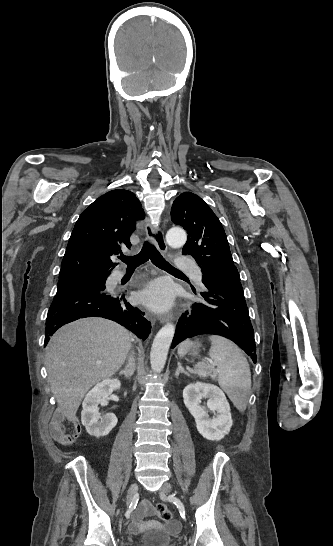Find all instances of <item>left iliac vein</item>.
Segmentation results:
<instances>
[{
    "label": "left iliac vein",
    "instance_id": "1",
    "mask_svg": "<svg viewBox=\"0 0 333 546\" xmlns=\"http://www.w3.org/2000/svg\"><path fill=\"white\" fill-rule=\"evenodd\" d=\"M171 491V485L169 483L163 484L161 488V493H168Z\"/></svg>",
    "mask_w": 333,
    "mask_h": 546
}]
</instances>
